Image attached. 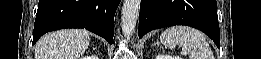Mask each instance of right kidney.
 <instances>
[{"label":"right kidney","instance_id":"ca27d5eb","mask_svg":"<svg viewBox=\"0 0 261 59\" xmlns=\"http://www.w3.org/2000/svg\"><path fill=\"white\" fill-rule=\"evenodd\" d=\"M87 59H95V56H93V57H87ZM96 59H97V57H96Z\"/></svg>","mask_w":261,"mask_h":59}]
</instances>
